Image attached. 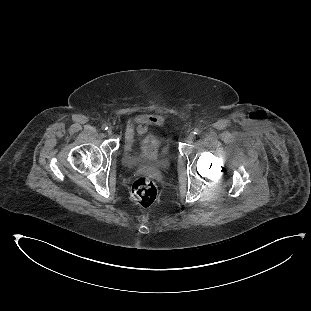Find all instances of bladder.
Here are the masks:
<instances>
[{"mask_svg": "<svg viewBox=\"0 0 311 311\" xmlns=\"http://www.w3.org/2000/svg\"><path fill=\"white\" fill-rule=\"evenodd\" d=\"M172 154L170 147L163 146V138L157 132H148L141 138L132 133L125 134L123 156L132 169L164 171Z\"/></svg>", "mask_w": 311, "mask_h": 311, "instance_id": "1", "label": "bladder"}]
</instances>
